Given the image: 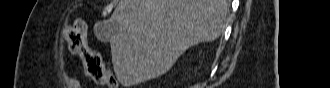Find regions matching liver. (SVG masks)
I'll return each mask as SVG.
<instances>
[{"label": "liver", "instance_id": "liver-1", "mask_svg": "<svg viewBox=\"0 0 330 88\" xmlns=\"http://www.w3.org/2000/svg\"><path fill=\"white\" fill-rule=\"evenodd\" d=\"M227 12V0H120L104 25L118 80L163 75L188 48L217 39Z\"/></svg>", "mask_w": 330, "mask_h": 88}]
</instances>
